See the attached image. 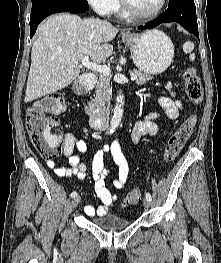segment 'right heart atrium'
I'll use <instances>...</instances> for the list:
<instances>
[{
  "label": "right heart atrium",
  "instance_id": "right-heart-atrium-1",
  "mask_svg": "<svg viewBox=\"0 0 221 263\" xmlns=\"http://www.w3.org/2000/svg\"><path fill=\"white\" fill-rule=\"evenodd\" d=\"M87 2L101 15H109L113 13L118 5V0H87Z\"/></svg>",
  "mask_w": 221,
  "mask_h": 263
}]
</instances>
